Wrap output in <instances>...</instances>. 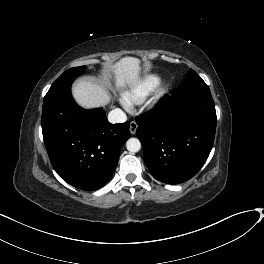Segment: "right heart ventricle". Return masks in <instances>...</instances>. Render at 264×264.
Masks as SVG:
<instances>
[{"mask_svg":"<svg viewBox=\"0 0 264 264\" xmlns=\"http://www.w3.org/2000/svg\"><path fill=\"white\" fill-rule=\"evenodd\" d=\"M160 83V77L155 74L141 76L132 86L123 93L126 104L133 105L144 100Z\"/></svg>","mask_w":264,"mask_h":264,"instance_id":"obj_1","label":"right heart ventricle"}]
</instances>
